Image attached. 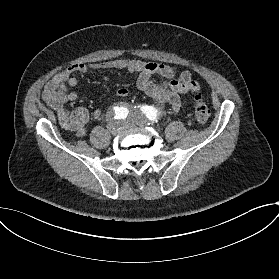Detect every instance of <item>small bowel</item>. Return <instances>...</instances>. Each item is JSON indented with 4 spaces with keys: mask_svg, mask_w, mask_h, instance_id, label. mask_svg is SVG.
I'll list each match as a JSON object with an SVG mask.
<instances>
[{
    "mask_svg": "<svg viewBox=\"0 0 279 279\" xmlns=\"http://www.w3.org/2000/svg\"><path fill=\"white\" fill-rule=\"evenodd\" d=\"M99 70H127L138 73V87L154 100L168 104L171 113H178L184 108L185 102L181 98L182 94L189 91L196 92L200 89V84L193 79L188 70L179 71L173 66L157 62L120 58L94 64L71 65L56 74L45 85L42 100L46 106L56 112L60 126L75 133L78 137L85 135L90 113L84 107L73 111L68 110L67 103L78 98L77 93L70 91L69 87L78 84L75 76L77 73L85 74ZM155 75L166 78V81L163 83L154 81L152 77ZM105 80L107 81L108 78L105 77ZM116 95L126 97L128 90L120 88ZM101 115L102 111L99 108L92 112L94 119H99Z\"/></svg>",
    "mask_w": 279,
    "mask_h": 279,
    "instance_id": "c3829d8e",
    "label": "small bowel"
}]
</instances>
